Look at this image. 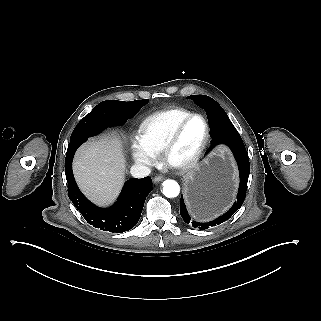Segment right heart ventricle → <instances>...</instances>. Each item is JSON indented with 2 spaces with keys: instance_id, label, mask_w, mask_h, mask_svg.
<instances>
[{
  "instance_id": "right-heart-ventricle-1",
  "label": "right heart ventricle",
  "mask_w": 321,
  "mask_h": 321,
  "mask_svg": "<svg viewBox=\"0 0 321 321\" xmlns=\"http://www.w3.org/2000/svg\"><path fill=\"white\" fill-rule=\"evenodd\" d=\"M190 114H192V111L183 107H170L156 111L141 122L139 134L144 142L159 156L173 127ZM158 164L162 165L163 161L159 159Z\"/></svg>"
}]
</instances>
